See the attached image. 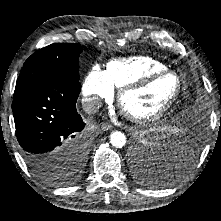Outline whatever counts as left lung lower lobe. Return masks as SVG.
I'll return each mask as SVG.
<instances>
[{
  "mask_svg": "<svg viewBox=\"0 0 221 221\" xmlns=\"http://www.w3.org/2000/svg\"><path fill=\"white\" fill-rule=\"evenodd\" d=\"M174 126L164 139H153L146 149L137 145L131 151L136 177L148 186H167L182 177L194 164L201 145L199 138L203 122L187 121L181 116L174 121Z\"/></svg>",
  "mask_w": 221,
  "mask_h": 221,
  "instance_id": "obj_1",
  "label": "left lung lower lobe"
}]
</instances>
